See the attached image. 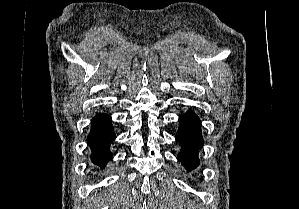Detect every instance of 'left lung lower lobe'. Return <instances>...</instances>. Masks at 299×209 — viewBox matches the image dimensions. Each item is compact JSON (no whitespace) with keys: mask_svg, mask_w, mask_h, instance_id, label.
Wrapping results in <instances>:
<instances>
[{"mask_svg":"<svg viewBox=\"0 0 299 209\" xmlns=\"http://www.w3.org/2000/svg\"><path fill=\"white\" fill-rule=\"evenodd\" d=\"M179 123L180 127L175 138L181 145V152L177 159L191 171L199 165L198 153L204 144L201 122L194 112L188 111L179 117Z\"/></svg>","mask_w":299,"mask_h":209,"instance_id":"obj_1","label":"left lung lower lobe"}]
</instances>
